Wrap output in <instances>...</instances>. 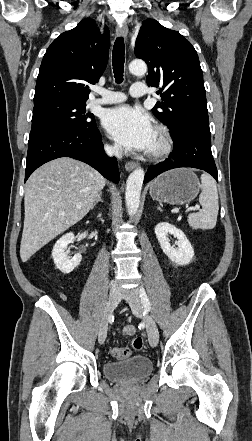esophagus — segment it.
<instances>
[{
  "mask_svg": "<svg viewBox=\"0 0 252 441\" xmlns=\"http://www.w3.org/2000/svg\"><path fill=\"white\" fill-rule=\"evenodd\" d=\"M116 34L120 37H124L125 39H127V35H128V28L126 27V25H119L116 28ZM138 166L137 162H132V161H128L125 164V168L127 171H132L133 169H135Z\"/></svg>",
  "mask_w": 252,
  "mask_h": 441,
  "instance_id": "esophagus-1",
  "label": "esophagus"
}]
</instances>
